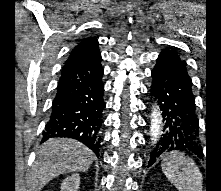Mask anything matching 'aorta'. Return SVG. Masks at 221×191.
I'll return each mask as SVG.
<instances>
[{"mask_svg":"<svg viewBox=\"0 0 221 191\" xmlns=\"http://www.w3.org/2000/svg\"><path fill=\"white\" fill-rule=\"evenodd\" d=\"M160 133H161L160 113L158 112L157 107H154L151 113V127H150L151 140L153 144H155L158 141Z\"/></svg>","mask_w":221,"mask_h":191,"instance_id":"aorta-1","label":"aorta"}]
</instances>
